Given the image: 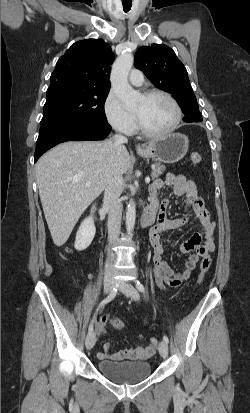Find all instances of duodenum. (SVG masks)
Returning <instances> with one entry per match:
<instances>
[{
  "label": "duodenum",
  "instance_id": "obj_1",
  "mask_svg": "<svg viewBox=\"0 0 250 413\" xmlns=\"http://www.w3.org/2000/svg\"><path fill=\"white\" fill-rule=\"evenodd\" d=\"M98 207H93V213L97 214ZM156 219V210L154 208H147L140 218V224L142 227L150 226Z\"/></svg>",
  "mask_w": 250,
  "mask_h": 413
}]
</instances>
